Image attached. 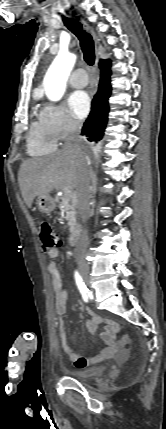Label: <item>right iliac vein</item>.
I'll use <instances>...</instances> for the list:
<instances>
[{
  "instance_id": "obj_1",
  "label": "right iliac vein",
  "mask_w": 166,
  "mask_h": 429,
  "mask_svg": "<svg viewBox=\"0 0 166 429\" xmlns=\"http://www.w3.org/2000/svg\"><path fill=\"white\" fill-rule=\"evenodd\" d=\"M79 272H80V275H81V277H82V279H83L84 283L88 286V285H89V282H90L89 274H88V270H87V269H85V268H81V269L79 270Z\"/></svg>"
}]
</instances>
